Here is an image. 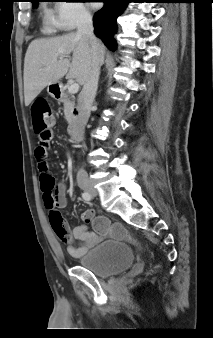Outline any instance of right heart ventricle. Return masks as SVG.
Here are the masks:
<instances>
[{
	"label": "right heart ventricle",
	"mask_w": 213,
	"mask_h": 338,
	"mask_svg": "<svg viewBox=\"0 0 213 338\" xmlns=\"http://www.w3.org/2000/svg\"><path fill=\"white\" fill-rule=\"evenodd\" d=\"M47 25L49 27L50 30L52 31H56L57 29H61L59 26H57L56 24H54L53 22L51 21H47Z\"/></svg>",
	"instance_id": "e07e8e85"
}]
</instances>
